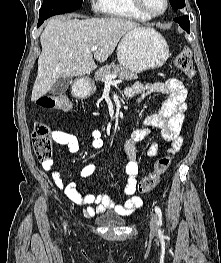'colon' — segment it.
<instances>
[{
	"instance_id": "colon-1",
	"label": "colon",
	"mask_w": 221,
	"mask_h": 263,
	"mask_svg": "<svg viewBox=\"0 0 221 263\" xmlns=\"http://www.w3.org/2000/svg\"><path fill=\"white\" fill-rule=\"evenodd\" d=\"M174 65L184 72L188 77L194 76L191 53L183 49L174 58ZM37 105L44 109L69 111L71 103L64 95H43L36 101ZM33 148L36 156L41 160H48L51 155V129L43 123L36 122L32 134ZM170 155L161 156L155 163L153 170L148 173L139 183L138 189L141 193L152 190L159 182L160 177L171 164Z\"/></svg>"
}]
</instances>
